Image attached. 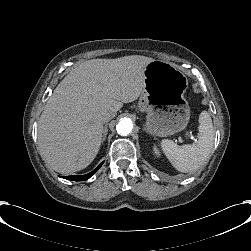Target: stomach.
<instances>
[{
    "mask_svg": "<svg viewBox=\"0 0 251 251\" xmlns=\"http://www.w3.org/2000/svg\"><path fill=\"white\" fill-rule=\"evenodd\" d=\"M144 75L138 107L147 114L146 131L166 137L185 129L190 119V107L184 98L187 77L174 65L159 60L148 63Z\"/></svg>",
    "mask_w": 251,
    "mask_h": 251,
    "instance_id": "obj_1",
    "label": "stomach"
}]
</instances>
